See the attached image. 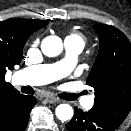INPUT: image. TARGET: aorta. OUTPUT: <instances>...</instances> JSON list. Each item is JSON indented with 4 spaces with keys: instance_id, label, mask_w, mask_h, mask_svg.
I'll list each match as a JSON object with an SVG mask.
<instances>
[{
    "instance_id": "aorta-1",
    "label": "aorta",
    "mask_w": 131,
    "mask_h": 131,
    "mask_svg": "<svg viewBox=\"0 0 131 131\" xmlns=\"http://www.w3.org/2000/svg\"><path fill=\"white\" fill-rule=\"evenodd\" d=\"M44 55L48 57L58 56L63 50L61 38L56 35L47 36L41 43ZM56 117L61 121H68L73 117V108L68 104H60L55 110Z\"/></svg>"
}]
</instances>
